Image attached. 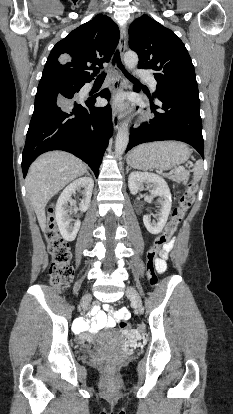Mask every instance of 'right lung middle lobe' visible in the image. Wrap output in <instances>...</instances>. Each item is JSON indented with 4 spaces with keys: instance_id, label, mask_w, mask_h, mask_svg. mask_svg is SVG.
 <instances>
[{
    "instance_id": "right-lung-middle-lobe-1",
    "label": "right lung middle lobe",
    "mask_w": 233,
    "mask_h": 414,
    "mask_svg": "<svg viewBox=\"0 0 233 414\" xmlns=\"http://www.w3.org/2000/svg\"><path fill=\"white\" fill-rule=\"evenodd\" d=\"M84 85V83L74 81V80H67V79H42L38 85V91L41 90H54L60 93L66 92H73L80 90V88Z\"/></svg>"
}]
</instances>
